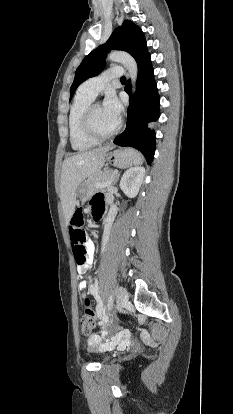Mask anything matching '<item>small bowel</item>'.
<instances>
[{
  "label": "small bowel",
  "instance_id": "c3829d8e",
  "mask_svg": "<svg viewBox=\"0 0 233 414\" xmlns=\"http://www.w3.org/2000/svg\"><path fill=\"white\" fill-rule=\"evenodd\" d=\"M102 206H103V198L101 195H96L92 201V209H93V213L95 211H102ZM114 212V209L111 208L110 210V215L111 213ZM86 250H87V259L86 262L84 264H77V269H78V273L83 276L87 270L90 268V266L93 263V259H94V245L91 242H87L86 243ZM79 289L82 292L83 296H85L86 293L91 294L95 300L98 302V304L96 305V310L97 311H101L103 310V302H102V298L99 294V290H98V285L97 282L94 281L90 284H88L85 280H81L79 283ZM101 303V304H100ZM109 309L111 308L110 306L108 307ZM97 340V337L95 335L90 336L89 338V342L93 343Z\"/></svg>",
  "mask_w": 233,
  "mask_h": 414
}]
</instances>
